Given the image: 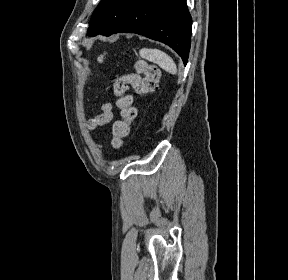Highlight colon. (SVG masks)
Segmentation results:
<instances>
[{
    "label": "colon",
    "mask_w": 288,
    "mask_h": 280,
    "mask_svg": "<svg viewBox=\"0 0 288 280\" xmlns=\"http://www.w3.org/2000/svg\"><path fill=\"white\" fill-rule=\"evenodd\" d=\"M133 67V73L120 75L111 84L121 114V119L114 123L112 130V146L115 149L123 147L130 125L136 117L132 96L128 94L129 88L132 87L139 94L152 93L157 89L160 78V69L144 59H136Z\"/></svg>",
    "instance_id": "colon-1"
}]
</instances>
